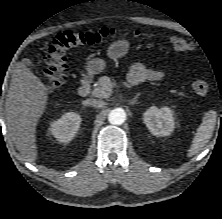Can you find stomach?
I'll return each mask as SVG.
<instances>
[{
    "label": "stomach",
    "instance_id": "stomach-1",
    "mask_svg": "<svg viewBox=\"0 0 222 219\" xmlns=\"http://www.w3.org/2000/svg\"><path fill=\"white\" fill-rule=\"evenodd\" d=\"M130 48V44L125 39H119L113 42L107 50L108 56L112 59L124 57ZM106 63L104 60L95 58L89 61L87 71L90 75L99 74L105 69Z\"/></svg>",
    "mask_w": 222,
    "mask_h": 219
}]
</instances>
